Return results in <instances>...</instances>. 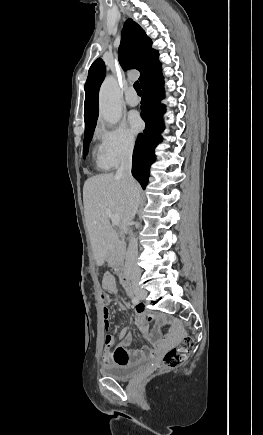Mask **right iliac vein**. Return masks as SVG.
<instances>
[{"mask_svg":"<svg viewBox=\"0 0 263 435\" xmlns=\"http://www.w3.org/2000/svg\"><path fill=\"white\" fill-rule=\"evenodd\" d=\"M134 294H135L138 298L143 299V298L146 297L147 292H146L144 289L140 288V287H135V288H134Z\"/></svg>","mask_w":263,"mask_h":435,"instance_id":"obj_1","label":"right iliac vein"}]
</instances>
